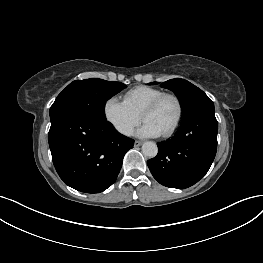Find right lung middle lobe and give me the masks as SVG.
Here are the masks:
<instances>
[{
	"label": "right lung middle lobe",
	"instance_id": "dd1d6c3e",
	"mask_svg": "<svg viewBox=\"0 0 263 263\" xmlns=\"http://www.w3.org/2000/svg\"><path fill=\"white\" fill-rule=\"evenodd\" d=\"M126 88L120 82L91 78L70 83L56 98L50 108V120L62 115L78 114L105 120L106 101Z\"/></svg>",
	"mask_w": 263,
	"mask_h": 263
}]
</instances>
